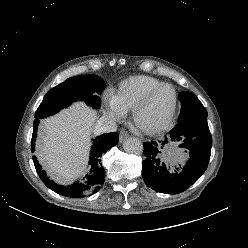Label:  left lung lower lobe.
I'll use <instances>...</instances> for the list:
<instances>
[{
    "label": "left lung lower lobe",
    "instance_id": "0a47b994",
    "mask_svg": "<svg viewBox=\"0 0 248 248\" xmlns=\"http://www.w3.org/2000/svg\"><path fill=\"white\" fill-rule=\"evenodd\" d=\"M169 141L182 142L180 148L190 152V160L183 170L173 173L170 167L163 163L158 144L144 142L145 160L142 165V177L146 185L157 192L178 194L194 184L207 169L212 146L207 117L178 120L169 136L162 141V146Z\"/></svg>",
    "mask_w": 248,
    "mask_h": 248
}]
</instances>
